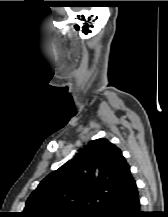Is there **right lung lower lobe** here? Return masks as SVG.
I'll return each mask as SVG.
<instances>
[{"mask_svg":"<svg viewBox=\"0 0 168 217\" xmlns=\"http://www.w3.org/2000/svg\"><path fill=\"white\" fill-rule=\"evenodd\" d=\"M95 217H144L143 213L140 212L138 191H134L125 198L112 201Z\"/></svg>","mask_w":168,"mask_h":217,"instance_id":"1","label":"right lung lower lobe"}]
</instances>
